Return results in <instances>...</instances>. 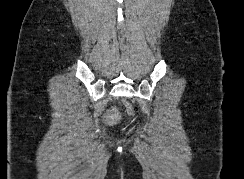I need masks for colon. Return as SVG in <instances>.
Instances as JSON below:
<instances>
[{
  "instance_id": "obj_1",
  "label": "colon",
  "mask_w": 244,
  "mask_h": 179,
  "mask_svg": "<svg viewBox=\"0 0 244 179\" xmlns=\"http://www.w3.org/2000/svg\"><path fill=\"white\" fill-rule=\"evenodd\" d=\"M128 112L130 115H137V107H128Z\"/></svg>"
}]
</instances>
